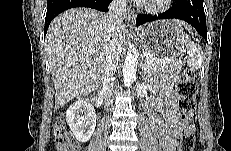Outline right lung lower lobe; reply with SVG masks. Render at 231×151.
I'll return each instance as SVG.
<instances>
[{
    "label": "right lung lower lobe",
    "mask_w": 231,
    "mask_h": 151,
    "mask_svg": "<svg viewBox=\"0 0 231 151\" xmlns=\"http://www.w3.org/2000/svg\"><path fill=\"white\" fill-rule=\"evenodd\" d=\"M111 0H48L44 34L47 33L51 21L61 12L74 7H89L108 12Z\"/></svg>",
    "instance_id": "obj_1"
}]
</instances>
